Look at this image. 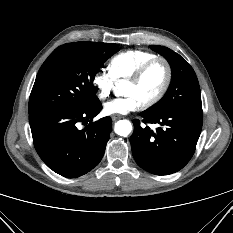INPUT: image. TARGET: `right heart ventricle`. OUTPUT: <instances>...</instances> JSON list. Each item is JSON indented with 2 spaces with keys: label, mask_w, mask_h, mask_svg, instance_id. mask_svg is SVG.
I'll return each mask as SVG.
<instances>
[{
  "label": "right heart ventricle",
  "mask_w": 233,
  "mask_h": 233,
  "mask_svg": "<svg viewBox=\"0 0 233 233\" xmlns=\"http://www.w3.org/2000/svg\"><path fill=\"white\" fill-rule=\"evenodd\" d=\"M156 55L144 50H127L115 55L108 64V69L115 80L128 79L146 61Z\"/></svg>",
  "instance_id": "right-heart-ventricle-1"
}]
</instances>
